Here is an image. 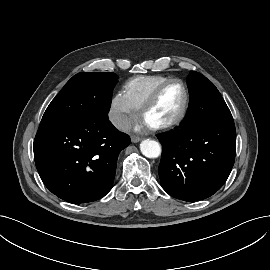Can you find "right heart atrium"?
Returning <instances> with one entry per match:
<instances>
[{
    "label": "right heart atrium",
    "instance_id": "1",
    "mask_svg": "<svg viewBox=\"0 0 270 270\" xmlns=\"http://www.w3.org/2000/svg\"><path fill=\"white\" fill-rule=\"evenodd\" d=\"M136 115V109L133 107L126 94L118 91L113 95L108 110V118L111 124L119 131H125L132 119Z\"/></svg>",
    "mask_w": 270,
    "mask_h": 270
}]
</instances>
